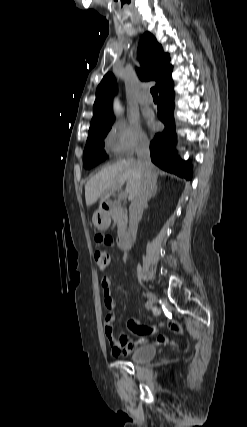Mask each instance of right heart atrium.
Segmentation results:
<instances>
[{
  "instance_id": "obj_1",
  "label": "right heart atrium",
  "mask_w": 247,
  "mask_h": 427,
  "mask_svg": "<svg viewBox=\"0 0 247 427\" xmlns=\"http://www.w3.org/2000/svg\"><path fill=\"white\" fill-rule=\"evenodd\" d=\"M107 149L117 156H131L146 148L149 140L139 124L132 120H118L108 129Z\"/></svg>"
}]
</instances>
